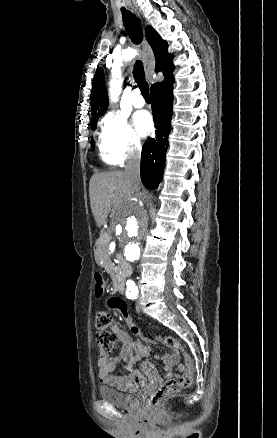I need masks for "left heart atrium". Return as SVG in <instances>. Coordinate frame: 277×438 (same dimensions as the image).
Returning <instances> with one entry per match:
<instances>
[{
  "label": "left heart atrium",
  "instance_id": "1",
  "mask_svg": "<svg viewBox=\"0 0 277 438\" xmlns=\"http://www.w3.org/2000/svg\"><path fill=\"white\" fill-rule=\"evenodd\" d=\"M133 121L138 133L141 136L145 137L151 132L153 123L151 115L147 111L137 112L134 115Z\"/></svg>",
  "mask_w": 277,
  "mask_h": 438
}]
</instances>
